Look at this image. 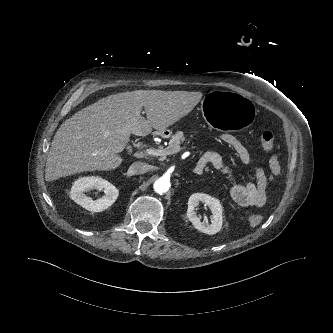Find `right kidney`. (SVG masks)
Masks as SVG:
<instances>
[{
	"mask_svg": "<svg viewBox=\"0 0 333 333\" xmlns=\"http://www.w3.org/2000/svg\"><path fill=\"white\" fill-rule=\"evenodd\" d=\"M104 190L105 196L97 200L86 196L90 190ZM119 195L118 189L100 177H83L73 183L70 196L77 204L91 212H101L110 207Z\"/></svg>",
	"mask_w": 333,
	"mask_h": 333,
	"instance_id": "1",
	"label": "right kidney"
}]
</instances>
